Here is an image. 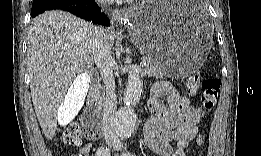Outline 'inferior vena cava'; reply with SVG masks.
<instances>
[{
    "instance_id": "obj_1",
    "label": "inferior vena cava",
    "mask_w": 261,
    "mask_h": 156,
    "mask_svg": "<svg viewBox=\"0 0 261 156\" xmlns=\"http://www.w3.org/2000/svg\"><path fill=\"white\" fill-rule=\"evenodd\" d=\"M92 47L94 62L99 69L106 90L102 128L107 144L116 145L120 143V139L114 129V115L116 112L117 99L115 80L112 71L113 58L107 34L104 29H94Z\"/></svg>"
}]
</instances>
